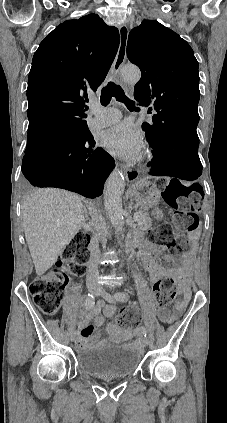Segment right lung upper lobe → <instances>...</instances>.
<instances>
[{
    "instance_id": "cb5924a9",
    "label": "right lung upper lobe",
    "mask_w": 227,
    "mask_h": 423,
    "mask_svg": "<svg viewBox=\"0 0 227 423\" xmlns=\"http://www.w3.org/2000/svg\"><path fill=\"white\" fill-rule=\"evenodd\" d=\"M118 47L119 31L96 14L61 23L41 42L28 78L25 153L88 131L87 91L102 84Z\"/></svg>"
}]
</instances>
